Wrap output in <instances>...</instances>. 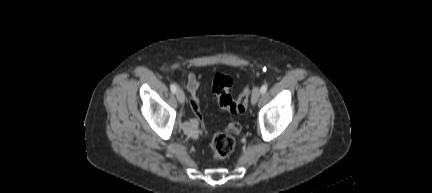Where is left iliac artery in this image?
Wrapping results in <instances>:
<instances>
[{
    "instance_id": "obj_1",
    "label": "left iliac artery",
    "mask_w": 432,
    "mask_h": 193,
    "mask_svg": "<svg viewBox=\"0 0 432 193\" xmlns=\"http://www.w3.org/2000/svg\"><path fill=\"white\" fill-rule=\"evenodd\" d=\"M267 88H268L267 84L262 85V87H261V93L264 94L267 91Z\"/></svg>"
}]
</instances>
